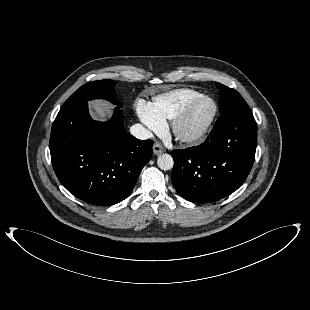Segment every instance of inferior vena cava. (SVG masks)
<instances>
[{"label":"inferior vena cava","mask_w":310,"mask_h":310,"mask_svg":"<svg viewBox=\"0 0 310 310\" xmlns=\"http://www.w3.org/2000/svg\"><path fill=\"white\" fill-rule=\"evenodd\" d=\"M130 133L140 139V140H146V139H150L153 137V134L151 131H149L148 129H146L143 125L141 124H135L133 126H131L130 128Z\"/></svg>","instance_id":"obj_1"}]
</instances>
